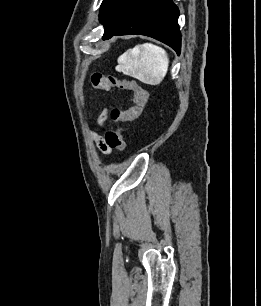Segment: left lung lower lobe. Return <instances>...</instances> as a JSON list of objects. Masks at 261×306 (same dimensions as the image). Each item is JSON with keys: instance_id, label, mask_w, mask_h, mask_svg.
<instances>
[{"instance_id": "obj_1", "label": "left lung lower lobe", "mask_w": 261, "mask_h": 306, "mask_svg": "<svg viewBox=\"0 0 261 306\" xmlns=\"http://www.w3.org/2000/svg\"><path fill=\"white\" fill-rule=\"evenodd\" d=\"M178 16L179 10L172 0H133L112 31L103 35V40L114 35L141 34L169 45L179 55Z\"/></svg>"}]
</instances>
